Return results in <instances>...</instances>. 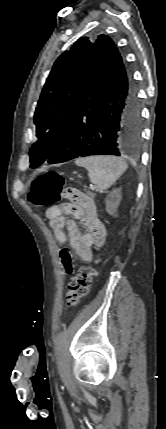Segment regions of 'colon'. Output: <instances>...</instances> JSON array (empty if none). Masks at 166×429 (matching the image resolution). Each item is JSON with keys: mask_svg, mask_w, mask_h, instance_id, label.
<instances>
[{"mask_svg": "<svg viewBox=\"0 0 166 429\" xmlns=\"http://www.w3.org/2000/svg\"><path fill=\"white\" fill-rule=\"evenodd\" d=\"M62 198L82 206L93 201L80 190L67 186L64 177L55 171H46L32 181L28 199L35 206H48ZM94 275L93 266L86 265L69 280L65 294L68 306H75L88 295Z\"/></svg>", "mask_w": 166, "mask_h": 429, "instance_id": "colon-1", "label": "colon"}]
</instances>
